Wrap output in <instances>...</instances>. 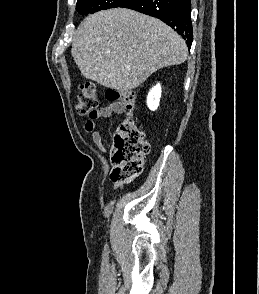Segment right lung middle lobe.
Returning <instances> with one entry per match:
<instances>
[{
	"label": "right lung middle lobe",
	"instance_id": "dd1d6c3e",
	"mask_svg": "<svg viewBox=\"0 0 259 294\" xmlns=\"http://www.w3.org/2000/svg\"><path fill=\"white\" fill-rule=\"evenodd\" d=\"M128 0H78L76 10L81 15L95 13L100 10L119 7Z\"/></svg>",
	"mask_w": 259,
	"mask_h": 294
}]
</instances>
